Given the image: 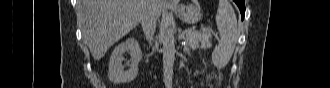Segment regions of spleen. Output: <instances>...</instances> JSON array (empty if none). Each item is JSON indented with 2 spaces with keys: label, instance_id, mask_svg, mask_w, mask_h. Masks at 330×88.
I'll return each instance as SVG.
<instances>
[{
  "label": "spleen",
  "instance_id": "3e777b00",
  "mask_svg": "<svg viewBox=\"0 0 330 88\" xmlns=\"http://www.w3.org/2000/svg\"><path fill=\"white\" fill-rule=\"evenodd\" d=\"M216 24L220 33V42L212 53V62L217 68H223L232 57L239 37L236 15L228 0L219 1Z\"/></svg>",
  "mask_w": 330,
  "mask_h": 88
}]
</instances>
